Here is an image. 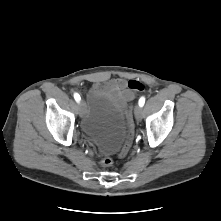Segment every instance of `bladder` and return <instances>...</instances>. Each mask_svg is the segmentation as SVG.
Returning a JSON list of instances; mask_svg holds the SVG:
<instances>
[{"label": "bladder", "mask_w": 221, "mask_h": 221, "mask_svg": "<svg viewBox=\"0 0 221 221\" xmlns=\"http://www.w3.org/2000/svg\"><path fill=\"white\" fill-rule=\"evenodd\" d=\"M81 124L83 134L102 152L115 153L127 136L128 112L99 87H91Z\"/></svg>", "instance_id": "1"}]
</instances>
